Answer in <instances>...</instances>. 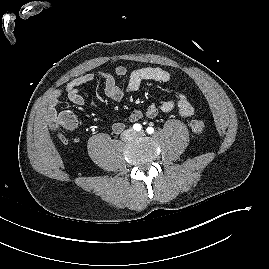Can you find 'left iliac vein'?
<instances>
[{
  "instance_id": "obj_1",
  "label": "left iliac vein",
  "mask_w": 269,
  "mask_h": 269,
  "mask_svg": "<svg viewBox=\"0 0 269 269\" xmlns=\"http://www.w3.org/2000/svg\"><path fill=\"white\" fill-rule=\"evenodd\" d=\"M144 135V132L143 131H140L136 134V136H143Z\"/></svg>"
}]
</instances>
